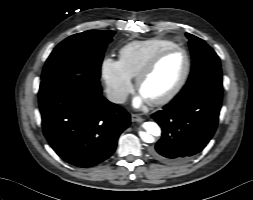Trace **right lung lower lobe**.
<instances>
[{"instance_id": "98d812e1", "label": "right lung lower lobe", "mask_w": 253, "mask_h": 200, "mask_svg": "<svg viewBox=\"0 0 253 200\" xmlns=\"http://www.w3.org/2000/svg\"><path fill=\"white\" fill-rule=\"evenodd\" d=\"M39 106L43 133L64 161L91 167L109 158L130 114L102 96L99 80L73 74L42 80Z\"/></svg>"}]
</instances>
